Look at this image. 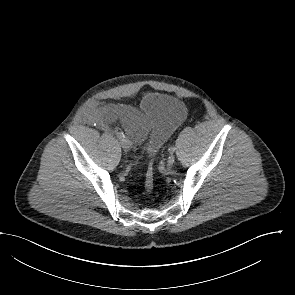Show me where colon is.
Segmentation results:
<instances>
[{
  "instance_id": "1",
  "label": "colon",
  "mask_w": 295,
  "mask_h": 295,
  "mask_svg": "<svg viewBox=\"0 0 295 295\" xmlns=\"http://www.w3.org/2000/svg\"><path fill=\"white\" fill-rule=\"evenodd\" d=\"M154 183H155V176H154V168L152 163H150L147 167L146 174H145V181H144V187L146 192H152L154 189Z\"/></svg>"
}]
</instances>
